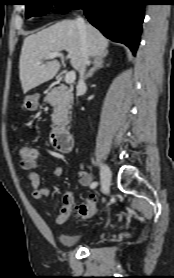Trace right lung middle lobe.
Masks as SVG:
<instances>
[{
	"label": "right lung middle lobe",
	"instance_id": "right-lung-middle-lobe-1",
	"mask_svg": "<svg viewBox=\"0 0 174 278\" xmlns=\"http://www.w3.org/2000/svg\"><path fill=\"white\" fill-rule=\"evenodd\" d=\"M79 0H26V18L45 15L52 5H57L60 13H67Z\"/></svg>",
	"mask_w": 174,
	"mask_h": 278
}]
</instances>
